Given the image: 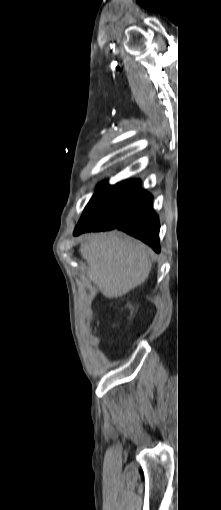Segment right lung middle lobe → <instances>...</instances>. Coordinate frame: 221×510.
<instances>
[{"mask_svg":"<svg viewBox=\"0 0 221 510\" xmlns=\"http://www.w3.org/2000/svg\"><path fill=\"white\" fill-rule=\"evenodd\" d=\"M135 183V180H127L114 186L103 183L88 206L103 218L118 219L125 209Z\"/></svg>","mask_w":221,"mask_h":510,"instance_id":"1","label":"right lung middle lobe"}]
</instances>
